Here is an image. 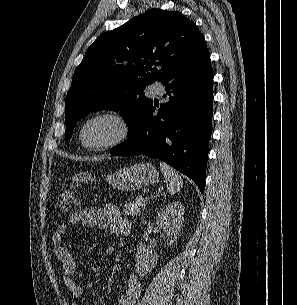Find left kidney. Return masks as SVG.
<instances>
[{
  "mask_svg": "<svg viewBox=\"0 0 297 305\" xmlns=\"http://www.w3.org/2000/svg\"><path fill=\"white\" fill-rule=\"evenodd\" d=\"M184 215V205L181 202H172L162 208L157 216V225L161 228L167 237V244L170 246L181 231ZM157 253L146 246L144 243H139L135 258L136 272L140 275H146L157 264Z\"/></svg>",
  "mask_w": 297,
  "mask_h": 305,
  "instance_id": "5707ae66",
  "label": "left kidney"
}]
</instances>
